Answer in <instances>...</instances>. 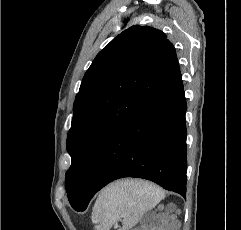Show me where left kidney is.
<instances>
[{
  "label": "left kidney",
  "mask_w": 241,
  "mask_h": 230,
  "mask_svg": "<svg viewBox=\"0 0 241 230\" xmlns=\"http://www.w3.org/2000/svg\"><path fill=\"white\" fill-rule=\"evenodd\" d=\"M134 230H136V229H134ZM142 230H147V229L145 227H143Z\"/></svg>",
  "instance_id": "1"
}]
</instances>
